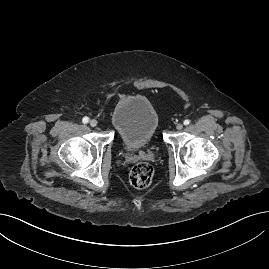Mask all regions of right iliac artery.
<instances>
[{"label": "right iliac artery", "instance_id": "right-iliac-artery-1", "mask_svg": "<svg viewBox=\"0 0 269 269\" xmlns=\"http://www.w3.org/2000/svg\"><path fill=\"white\" fill-rule=\"evenodd\" d=\"M82 122H83L84 124L88 123V122H89V118H88V117H84V118L82 119Z\"/></svg>", "mask_w": 269, "mask_h": 269}]
</instances>
